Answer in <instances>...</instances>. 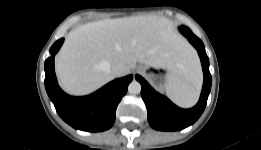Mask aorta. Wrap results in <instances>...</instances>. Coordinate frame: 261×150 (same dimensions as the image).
I'll return each mask as SVG.
<instances>
[{"instance_id":"aorta-1","label":"aorta","mask_w":261,"mask_h":150,"mask_svg":"<svg viewBox=\"0 0 261 150\" xmlns=\"http://www.w3.org/2000/svg\"><path fill=\"white\" fill-rule=\"evenodd\" d=\"M141 91V84L136 81V80H133L129 86H128V92L130 94H139Z\"/></svg>"}]
</instances>
